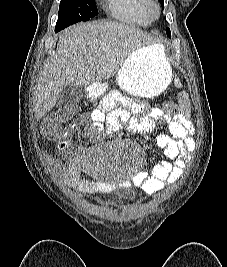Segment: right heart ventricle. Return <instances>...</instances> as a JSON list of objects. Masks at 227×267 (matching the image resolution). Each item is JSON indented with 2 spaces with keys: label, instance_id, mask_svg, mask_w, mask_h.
I'll return each instance as SVG.
<instances>
[{
  "label": "right heart ventricle",
  "instance_id": "right-heart-ventricle-1",
  "mask_svg": "<svg viewBox=\"0 0 227 267\" xmlns=\"http://www.w3.org/2000/svg\"><path fill=\"white\" fill-rule=\"evenodd\" d=\"M148 0H105V8L113 18L130 24L147 25L150 21L146 13Z\"/></svg>",
  "mask_w": 227,
  "mask_h": 267
}]
</instances>
